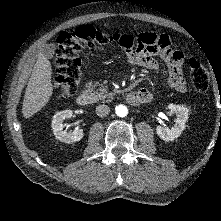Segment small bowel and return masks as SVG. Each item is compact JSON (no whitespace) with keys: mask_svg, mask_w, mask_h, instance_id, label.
Returning a JSON list of instances; mask_svg holds the SVG:
<instances>
[{"mask_svg":"<svg viewBox=\"0 0 221 221\" xmlns=\"http://www.w3.org/2000/svg\"><path fill=\"white\" fill-rule=\"evenodd\" d=\"M128 41L121 45L129 63L149 69H159L156 57L163 59L169 69L168 84L178 92L187 89L186 80L182 73L183 53L172 48L171 39L166 34L156 32L141 33L137 38L125 35ZM148 101L152 93L148 89L137 91Z\"/></svg>","mask_w":221,"mask_h":221,"instance_id":"1","label":"small bowel"}]
</instances>
